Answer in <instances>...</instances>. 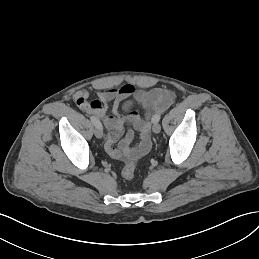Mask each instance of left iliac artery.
Masks as SVG:
<instances>
[{"label":"left iliac artery","instance_id":"left-iliac-artery-1","mask_svg":"<svg viewBox=\"0 0 259 259\" xmlns=\"http://www.w3.org/2000/svg\"><path fill=\"white\" fill-rule=\"evenodd\" d=\"M161 119V115L160 114H156L153 118H152V121L153 123H157L159 122Z\"/></svg>","mask_w":259,"mask_h":259}]
</instances>
